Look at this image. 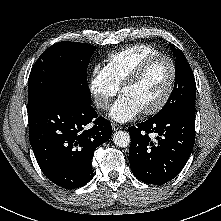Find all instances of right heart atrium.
Listing matches in <instances>:
<instances>
[{
  "label": "right heart atrium",
  "mask_w": 221,
  "mask_h": 221,
  "mask_svg": "<svg viewBox=\"0 0 221 221\" xmlns=\"http://www.w3.org/2000/svg\"><path fill=\"white\" fill-rule=\"evenodd\" d=\"M88 85L93 95L96 108L101 110L107 108L110 99L115 96L118 91V86L113 81L106 66L100 64L93 66Z\"/></svg>",
  "instance_id": "right-heart-atrium-1"
}]
</instances>
